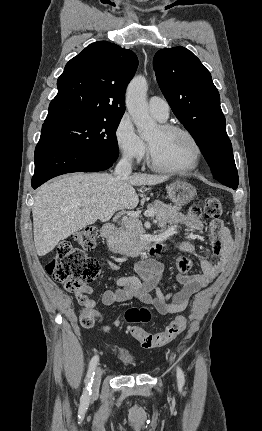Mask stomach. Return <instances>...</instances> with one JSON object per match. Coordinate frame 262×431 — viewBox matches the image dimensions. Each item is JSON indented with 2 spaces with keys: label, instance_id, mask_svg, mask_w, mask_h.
Listing matches in <instances>:
<instances>
[{
  "label": "stomach",
  "instance_id": "0dacf381",
  "mask_svg": "<svg viewBox=\"0 0 262 431\" xmlns=\"http://www.w3.org/2000/svg\"><path fill=\"white\" fill-rule=\"evenodd\" d=\"M195 188L188 182L177 180L167 187V197L174 204H188L195 196Z\"/></svg>",
  "mask_w": 262,
  "mask_h": 431
}]
</instances>
